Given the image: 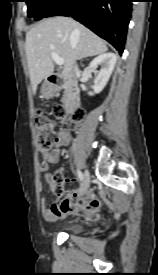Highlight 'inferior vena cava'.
<instances>
[{"mask_svg": "<svg viewBox=\"0 0 158 275\" xmlns=\"http://www.w3.org/2000/svg\"><path fill=\"white\" fill-rule=\"evenodd\" d=\"M75 72H76L77 75L80 74V71H79V69H78V66H75Z\"/></svg>", "mask_w": 158, "mask_h": 275, "instance_id": "obj_1", "label": "inferior vena cava"}]
</instances>
